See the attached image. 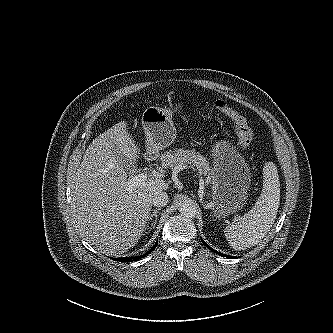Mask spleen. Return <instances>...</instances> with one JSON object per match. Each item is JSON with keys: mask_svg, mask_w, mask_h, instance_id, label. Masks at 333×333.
Masks as SVG:
<instances>
[{"mask_svg": "<svg viewBox=\"0 0 333 333\" xmlns=\"http://www.w3.org/2000/svg\"><path fill=\"white\" fill-rule=\"evenodd\" d=\"M280 204V181L276 165L263 167V189L253 208L225 228V236L234 250L255 246L270 231Z\"/></svg>", "mask_w": 333, "mask_h": 333, "instance_id": "1", "label": "spleen"}]
</instances>
